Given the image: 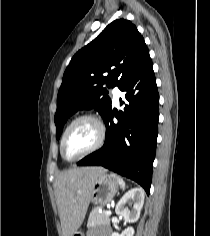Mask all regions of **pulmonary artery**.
Masks as SVG:
<instances>
[{
    "label": "pulmonary artery",
    "mask_w": 210,
    "mask_h": 236,
    "mask_svg": "<svg viewBox=\"0 0 210 236\" xmlns=\"http://www.w3.org/2000/svg\"><path fill=\"white\" fill-rule=\"evenodd\" d=\"M113 95H114V102H115L116 104H118L119 99H120V96H121V92H120V90H119L118 87H114V89H113Z\"/></svg>",
    "instance_id": "pulmonary-artery-1"
}]
</instances>
